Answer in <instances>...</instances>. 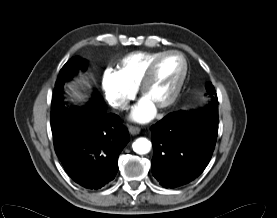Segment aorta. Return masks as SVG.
<instances>
[{
  "instance_id": "762f6f07",
  "label": "aorta",
  "mask_w": 277,
  "mask_h": 218,
  "mask_svg": "<svg viewBox=\"0 0 277 218\" xmlns=\"http://www.w3.org/2000/svg\"><path fill=\"white\" fill-rule=\"evenodd\" d=\"M151 146V142L144 137L136 139L132 145L134 152H136L139 155L149 153L151 150Z\"/></svg>"
}]
</instances>
